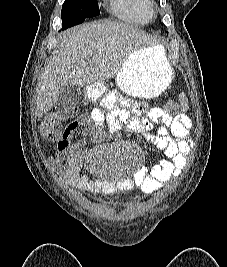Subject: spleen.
Wrapping results in <instances>:
<instances>
[{
  "instance_id": "3e777b00",
  "label": "spleen",
  "mask_w": 227,
  "mask_h": 267,
  "mask_svg": "<svg viewBox=\"0 0 227 267\" xmlns=\"http://www.w3.org/2000/svg\"><path fill=\"white\" fill-rule=\"evenodd\" d=\"M160 47H168V42H160ZM180 105H187V100H180Z\"/></svg>"
}]
</instances>
